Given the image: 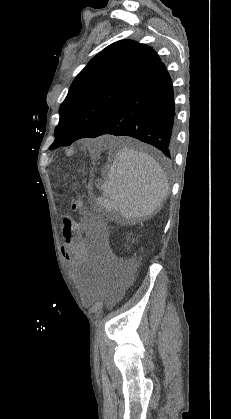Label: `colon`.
<instances>
[{
	"instance_id": "1",
	"label": "colon",
	"mask_w": 231,
	"mask_h": 419,
	"mask_svg": "<svg viewBox=\"0 0 231 419\" xmlns=\"http://www.w3.org/2000/svg\"><path fill=\"white\" fill-rule=\"evenodd\" d=\"M71 205H72V209L74 210V211H77L78 213H80L81 215H83V216H85V208H84V205H83V203L80 201V200H77V199H72L71 200ZM89 245L91 246V247H94L95 245H96V242L94 241V240H91L90 242H89ZM91 290L92 291H95L96 290V287L95 286H92L91 287Z\"/></svg>"
}]
</instances>
